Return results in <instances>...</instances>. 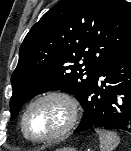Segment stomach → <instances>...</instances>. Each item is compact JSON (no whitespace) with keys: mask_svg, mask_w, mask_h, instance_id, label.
<instances>
[{"mask_svg":"<svg viewBox=\"0 0 131 151\" xmlns=\"http://www.w3.org/2000/svg\"><path fill=\"white\" fill-rule=\"evenodd\" d=\"M56 151H77V150L75 148L67 147V148L57 149Z\"/></svg>","mask_w":131,"mask_h":151,"instance_id":"stomach-1","label":"stomach"}]
</instances>
